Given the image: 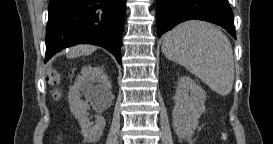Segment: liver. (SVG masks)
Returning <instances> with one entry per match:
<instances>
[{
	"mask_svg": "<svg viewBox=\"0 0 273 144\" xmlns=\"http://www.w3.org/2000/svg\"><path fill=\"white\" fill-rule=\"evenodd\" d=\"M96 50V46L89 44H80L71 47L68 53V58H75L81 55H90Z\"/></svg>",
	"mask_w": 273,
	"mask_h": 144,
	"instance_id": "obj_1",
	"label": "liver"
}]
</instances>
